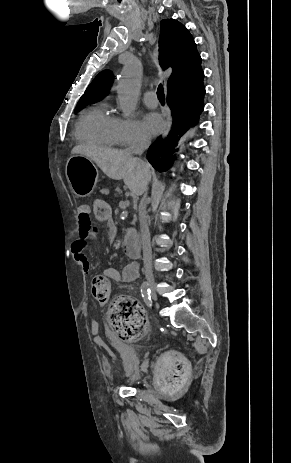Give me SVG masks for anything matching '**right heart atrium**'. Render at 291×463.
Here are the masks:
<instances>
[{
    "instance_id": "right-heart-atrium-1",
    "label": "right heart atrium",
    "mask_w": 291,
    "mask_h": 463,
    "mask_svg": "<svg viewBox=\"0 0 291 463\" xmlns=\"http://www.w3.org/2000/svg\"><path fill=\"white\" fill-rule=\"evenodd\" d=\"M118 134L120 144L127 147L144 143L147 140L139 123L131 118L118 120Z\"/></svg>"
}]
</instances>
